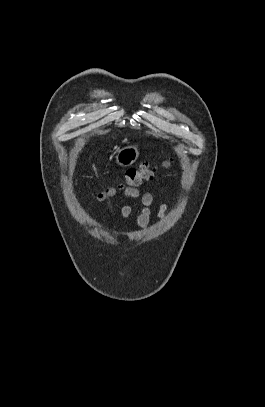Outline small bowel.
<instances>
[{"label":"small bowel","mask_w":265,"mask_h":407,"mask_svg":"<svg viewBox=\"0 0 265 407\" xmlns=\"http://www.w3.org/2000/svg\"><path fill=\"white\" fill-rule=\"evenodd\" d=\"M124 197L126 200H131V199H140L141 203V208L139 215L136 220V225L138 228L143 229L146 228L151 220V206L153 204V196L151 193L146 192L141 194L139 189L137 188H132V187H127L124 190ZM167 211V205L166 204H161L157 213L158 221L162 222L165 213ZM132 213V207L130 204H125L122 206L120 210V215L123 218L128 217Z\"/></svg>","instance_id":"1"}]
</instances>
